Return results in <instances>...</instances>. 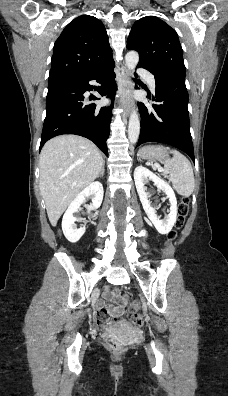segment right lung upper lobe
Listing matches in <instances>:
<instances>
[{
    "instance_id": "1",
    "label": "right lung upper lobe",
    "mask_w": 228,
    "mask_h": 396,
    "mask_svg": "<svg viewBox=\"0 0 228 396\" xmlns=\"http://www.w3.org/2000/svg\"><path fill=\"white\" fill-rule=\"evenodd\" d=\"M112 61L103 23L81 15L64 28L54 44L49 81L87 75Z\"/></svg>"
}]
</instances>
